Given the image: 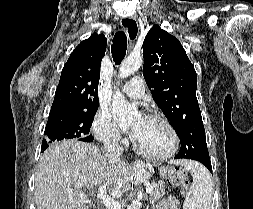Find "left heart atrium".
Returning <instances> with one entry per match:
<instances>
[{"label": "left heart atrium", "mask_w": 253, "mask_h": 209, "mask_svg": "<svg viewBox=\"0 0 253 209\" xmlns=\"http://www.w3.org/2000/svg\"><path fill=\"white\" fill-rule=\"evenodd\" d=\"M139 134V129L138 128H133L130 132V137L135 140L138 137Z\"/></svg>", "instance_id": "left-heart-atrium-1"}]
</instances>
